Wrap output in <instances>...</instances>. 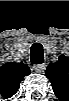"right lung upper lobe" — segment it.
Returning a JSON list of instances; mask_svg holds the SVG:
<instances>
[{
    "instance_id": "obj_1",
    "label": "right lung upper lobe",
    "mask_w": 69,
    "mask_h": 101,
    "mask_svg": "<svg viewBox=\"0 0 69 101\" xmlns=\"http://www.w3.org/2000/svg\"><path fill=\"white\" fill-rule=\"evenodd\" d=\"M30 74L29 67L24 63L7 62L0 68V89L2 94L10 98L19 89L20 82Z\"/></svg>"
}]
</instances>
